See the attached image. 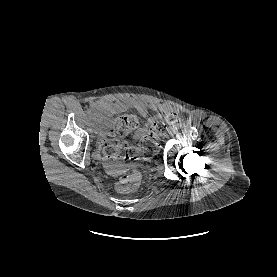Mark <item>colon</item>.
<instances>
[{
	"mask_svg": "<svg viewBox=\"0 0 277 277\" xmlns=\"http://www.w3.org/2000/svg\"><path fill=\"white\" fill-rule=\"evenodd\" d=\"M139 126L136 115L125 114L117 117L110 130L100 141L99 154L108 161L126 163L138 160L140 157L149 158L158 152L159 143L157 135L164 131V124L157 121L153 125V131L145 134L140 143V148L121 143L118 137L125 136ZM140 175L134 171L126 172L116 184V189L122 193L135 191L140 186Z\"/></svg>",
	"mask_w": 277,
	"mask_h": 277,
	"instance_id": "colon-1",
	"label": "colon"
}]
</instances>
